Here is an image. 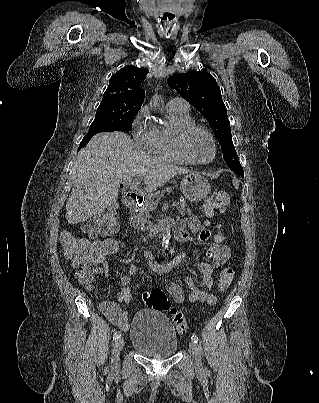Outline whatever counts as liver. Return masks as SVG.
<instances>
[{"mask_svg":"<svg viewBox=\"0 0 319 403\" xmlns=\"http://www.w3.org/2000/svg\"><path fill=\"white\" fill-rule=\"evenodd\" d=\"M187 173L190 170L151 157L124 132L98 133L76 157L66 219L77 224L102 213L117 202L120 184L134 176L144 178L147 191H155Z\"/></svg>","mask_w":319,"mask_h":403,"instance_id":"1","label":"liver"}]
</instances>
